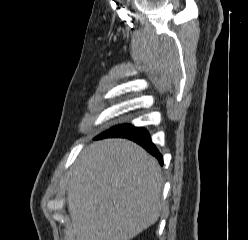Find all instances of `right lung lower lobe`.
Instances as JSON below:
<instances>
[{
  "mask_svg": "<svg viewBox=\"0 0 248 240\" xmlns=\"http://www.w3.org/2000/svg\"><path fill=\"white\" fill-rule=\"evenodd\" d=\"M107 137H122L128 138L143 148H145L150 154L155 156L160 164H163V157L155 147V145L151 142V138L148 132L141 127H134L131 124H123L115 126L109 129L106 132H103L95 139L107 138Z\"/></svg>",
  "mask_w": 248,
  "mask_h": 240,
  "instance_id": "obj_1",
  "label": "right lung lower lobe"
}]
</instances>
